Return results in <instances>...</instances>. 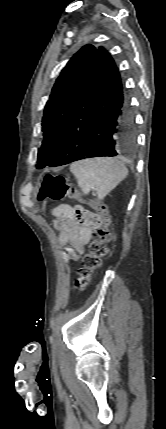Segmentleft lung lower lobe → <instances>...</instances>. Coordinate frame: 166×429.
Instances as JSON below:
<instances>
[{
	"label": "left lung lower lobe",
	"instance_id": "1",
	"mask_svg": "<svg viewBox=\"0 0 166 429\" xmlns=\"http://www.w3.org/2000/svg\"><path fill=\"white\" fill-rule=\"evenodd\" d=\"M135 124L129 96L111 55L96 48L90 76L75 104L68 124L45 166L130 151Z\"/></svg>",
	"mask_w": 166,
	"mask_h": 429
}]
</instances>
